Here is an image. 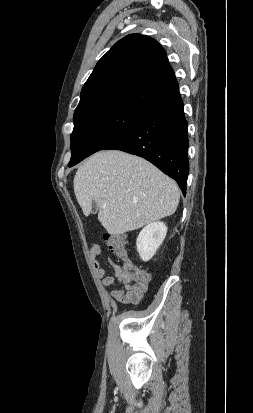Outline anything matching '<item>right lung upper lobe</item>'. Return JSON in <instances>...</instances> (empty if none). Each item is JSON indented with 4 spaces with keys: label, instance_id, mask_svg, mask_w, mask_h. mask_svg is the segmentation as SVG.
<instances>
[{
    "label": "right lung upper lobe",
    "instance_id": "obj_1",
    "mask_svg": "<svg viewBox=\"0 0 253 413\" xmlns=\"http://www.w3.org/2000/svg\"><path fill=\"white\" fill-rule=\"evenodd\" d=\"M180 97L161 45L151 37L130 34L96 64L82 88L74 120L113 110L147 115Z\"/></svg>",
    "mask_w": 253,
    "mask_h": 413
}]
</instances>
